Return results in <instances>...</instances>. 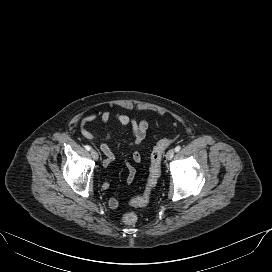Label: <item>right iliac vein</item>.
Wrapping results in <instances>:
<instances>
[{
  "instance_id": "right-iliac-vein-1",
  "label": "right iliac vein",
  "mask_w": 272,
  "mask_h": 272,
  "mask_svg": "<svg viewBox=\"0 0 272 272\" xmlns=\"http://www.w3.org/2000/svg\"><path fill=\"white\" fill-rule=\"evenodd\" d=\"M90 153H91V156L93 157V159L94 160H98V153H97V151L96 150H94V149H92L91 151H90Z\"/></svg>"
}]
</instances>
